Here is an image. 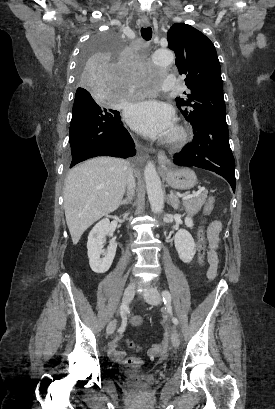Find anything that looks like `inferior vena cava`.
<instances>
[{
	"instance_id": "inferior-vena-cava-1",
	"label": "inferior vena cava",
	"mask_w": 275,
	"mask_h": 409,
	"mask_svg": "<svg viewBox=\"0 0 275 409\" xmlns=\"http://www.w3.org/2000/svg\"><path fill=\"white\" fill-rule=\"evenodd\" d=\"M127 172H128L127 188H128V190H132V194H133V188L135 186V178L133 176V172H132L131 168H129V170H127Z\"/></svg>"
}]
</instances>
